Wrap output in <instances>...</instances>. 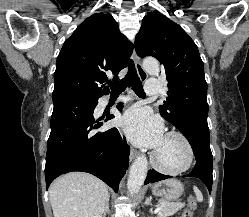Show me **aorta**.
Segmentation results:
<instances>
[{"mask_svg":"<svg viewBox=\"0 0 249 217\" xmlns=\"http://www.w3.org/2000/svg\"><path fill=\"white\" fill-rule=\"evenodd\" d=\"M143 66L149 74H157L160 71L159 63L156 59L148 58L143 61ZM148 170V161L145 155L138 156L133 162L129 178L127 182V189L131 196L137 194L143 185Z\"/></svg>","mask_w":249,"mask_h":217,"instance_id":"1","label":"aorta"}]
</instances>
